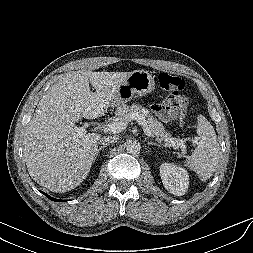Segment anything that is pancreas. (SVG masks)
<instances>
[{"label":"pancreas","instance_id":"cf45deb5","mask_svg":"<svg viewBox=\"0 0 253 253\" xmlns=\"http://www.w3.org/2000/svg\"><path fill=\"white\" fill-rule=\"evenodd\" d=\"M133 114H138L143 117L152 135L156 137V140L166 142V139L171 138V135L165 131L163 125L155 117L150 115L148 109L135 103L131 106L126 104L119 106L115 112V120L130 122Z\"/></svg>","mask_w":253,"mask_h":253}]
</instances>
